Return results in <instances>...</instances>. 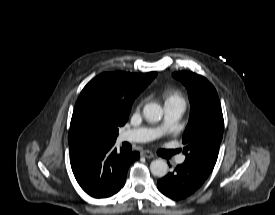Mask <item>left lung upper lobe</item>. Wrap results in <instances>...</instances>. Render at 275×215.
Wrapping results in <instances>:
<instances>
[{
    "label": "left lung upper lobe",
    "mask_w": 275,
    "mask_h": 215,
    "mask_svg": "<svg viewBox=\"0 0 275 215\" xmlns=\"http://www.w3.org/2000/svg\"><path fill=\"white\" fill-rule=\"evenodd\" d=\"M173 77L187 88L190 118L183 134L185 163L205 172H212L223 135V114L218 94L211 83L192 72H175Z\"/></svg>",
    "instance_id": "left-lung-upper-lobe-1"
}]
</instances>
